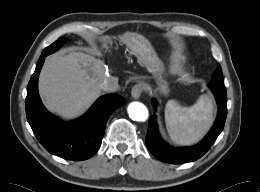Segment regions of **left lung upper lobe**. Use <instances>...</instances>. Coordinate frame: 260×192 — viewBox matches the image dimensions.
<instances>
[{
    "instance_id": "5c2ea615",
    "label": "left lung upper lobe",
    "mask_w": 260,
    "mask_h": 192,
    "mask_svg": "<svg viewBox=\"0 0 260 192\" xmlns=\"http://www.w3.org/2000/svg\"><path fill=\"white\" fill-rule=\"evenodd\" d=\"M210 83H221L223 84V76H222V69L220 66L214 71L212 75V80Z\"/></svg>"
}]
</instances>
